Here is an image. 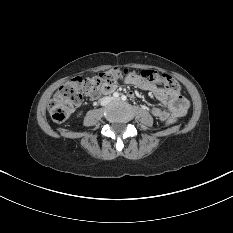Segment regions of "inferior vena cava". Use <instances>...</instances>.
Instances as JSON below:
<instances>
[{"instance_id": "obj_1", "label": "inferior vena cava", "mask_w": 233, "mask_h": 233, "mask_svg": "<svg viewBox=\"0 0 233 233\" xmlns=\"http://www.w3.org/2000/svg\"><path fill=\"white\" fill-rule=\"evenodd\" d=\"M111 101V98L110 97H103L102 99H101V104L102 105H105V104H107L108 102H110Z\"/></svg>"}]
</instances>
